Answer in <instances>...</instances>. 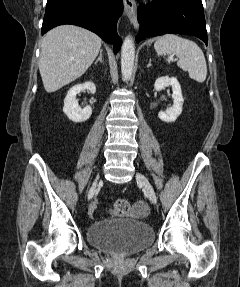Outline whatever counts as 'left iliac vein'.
I'll return each mask as SVG.
<instances>
[{
  "label": "left iliac vein",
  "mask_w": 240,
  "mask_h": 287,
  "mask_svg": "<svg viewBox=\"0 0 240 287\" xmlns=\"http://www.w3.org/2000/svg\"><path fill=\"white\" fill-rule=\"evenodd\" d=\"M136 179L143 186L144 191L147 194V196L149 197L150 201L153 204H156L157 203L156 193H155L152 185L148 181V179L141 173L136 174Z\"/></svg>",
  "instance_id": "1"
}]
</instances>
